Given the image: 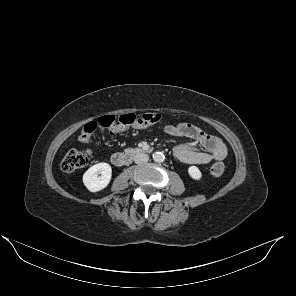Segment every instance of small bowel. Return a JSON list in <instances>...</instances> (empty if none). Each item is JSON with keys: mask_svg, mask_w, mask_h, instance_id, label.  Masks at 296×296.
<instances>
[{"mask_svg": "<svg viewBox=\"0 0 296 296\" xmlns=\"http://www.w3.org/2000/svg\"><path fill=\"white\" fill-rule=\"evenodd\" d=\"M163 131L168 135L181 136L189 140L173 149L174 157L182 164L203 165L222 161L227 156V147L221 138L206 134L191 123L182 122L176 125H166ZM199 147L204 150L199 149Z\"/></svg>", "mask_w": 296, "mask_h": 296, "instance_id": "1", "label": "small bowel"}]
</instances>
